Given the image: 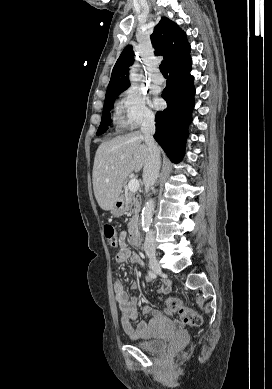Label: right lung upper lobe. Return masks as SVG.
I'll list each match as a JSON object with an SVG mask.
<instances>
[{
    "label": "right lung upper lobe",
    "mask_w": 272,
    "mask_h": 389,
    "mask_svg": "<svg viewBox=\"0 0 272 389\" xmlns=\"http://www.w3.org/2000/svg\"><path fill=\"white\" fill-rule=\"evenodd\" d=\"M151 42L155 48V55H163L168 69L177 62L183 61L189 56L190 45L186 34L177 24L166 17L154 27ZM134 61L132 46L128 45L122 51L113 70L107 88L106 96L115 92L126 90L129 86L128 67Z\"/></svg>",
    "instance_id": "cb5924a9"
}]
</instances>
